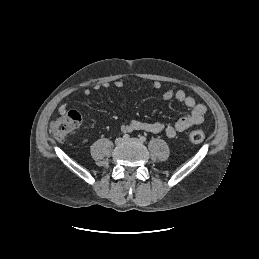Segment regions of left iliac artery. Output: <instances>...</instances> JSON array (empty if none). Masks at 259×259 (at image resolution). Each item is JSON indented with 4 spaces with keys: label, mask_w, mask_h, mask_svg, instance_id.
Instances as JSON below:
<instances>
[{
    "label": "left iliac artery",
    "mask_w": 259,
    "mask_h": 259,
    "mask_svg": "<svg viewBox=\"0 0 259 259\" xmlns=\"http://www.w3.org/2000/svg\"><path fill=\"white\" fill-rule=\"evenodd\" d=\"M139 139H140L141 142H145L146 141V137H144V136H140Z\"/></svg>",
    "instance_id": "obj_1"
}]
</instances>
